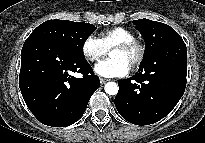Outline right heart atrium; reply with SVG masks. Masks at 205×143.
Masks as SVG:
<instances>
[{
	"label": "right heart atrium",
	"mask_w": 205,
	"mask_h": 143,
	"mask_svg": "<svg viewBox=\"0 0 205 143\" xmlns=\"http://www.w3.org/2000/svg\"><path fill=\"white\" fill-rule=\"evenodd\" d=\"M82 53L89 62H97L107 54L99 38L89 35L82 43Z\"/></svg>",
	"instance_id": "1"
}]
</instances>
